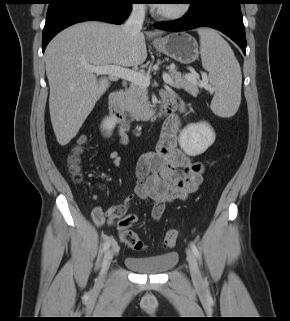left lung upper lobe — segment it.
I'll return each mask as SVG.
<instances>
[{
	"label": "left lung upper lobe",
	"mask_w": 290,
	"mask_h": 321,
	"mask_svg": "<svg viewBox=\"0 0 290 321\" xmlns=\"http://www.w3.org/2000/svg\"><path fill=\"white\" fill-rule=\"evenodd\" d=\"M198 0H188L189 3H193V2H196Z\"/></svg>",
	"instance_id": "left-lung-upper-lobe-1"
}]
</instances>
